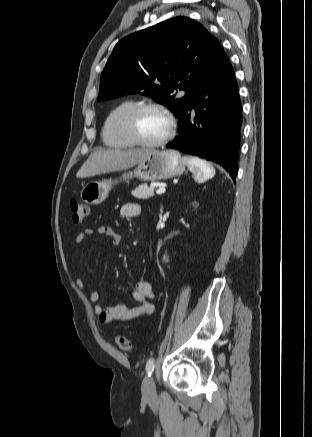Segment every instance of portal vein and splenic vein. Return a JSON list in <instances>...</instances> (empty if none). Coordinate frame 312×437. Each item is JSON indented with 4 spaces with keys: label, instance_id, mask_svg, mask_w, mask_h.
<instances>
[{
    "label": "portal vein and splenic vein",
    "instance_id": "portal-vein-and-splenic-vein-1",
    "mask_svg": "<svg viewBox=\"0 0 312 437\" xmlns=\"http://www.w3.org/2000/svg\"><path fill=\"white\" fill-rule=\"evenodd\" d=\"M166 189L165 188H159L158 190H156L157 194H163L165 193Z\"/></svg>",
    "mask_w": 312,
    "mask_h": 437
}]
</instances>
